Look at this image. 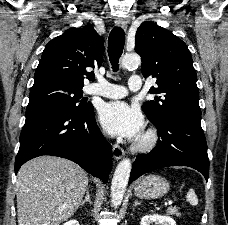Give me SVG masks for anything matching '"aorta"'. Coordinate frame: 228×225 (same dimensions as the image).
<instances>
[{
	"instance_id": "1",
	"label": "aorta",
	"mask_w": 228,
	"mask_h": 225,
	"mask_svg": "<svg viewBox=\"0 0 228 225\" xmlns=\"http://www.w3.org/2000/svg\"><path fill=\"white\" fill-rule=\"evenodd\" d=\"M121 64L123 68H137L141 64V58L136 52H128L124 54ZM131 173L130 159H122L118 163L111 183V205L118 207L121 205L122 199L125 195L126 187L128 185Z\"/></svg>"
}]
</instances>
